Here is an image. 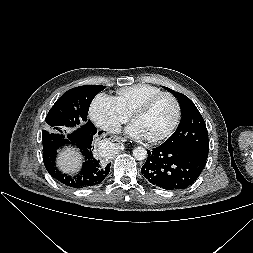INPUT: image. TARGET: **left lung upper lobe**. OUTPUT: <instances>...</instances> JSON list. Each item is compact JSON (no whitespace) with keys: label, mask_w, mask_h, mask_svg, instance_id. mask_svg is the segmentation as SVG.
Listing matches in <instances>:
<instances>
[{"label":"left lung upper lobe","mask_w":253,"mask_h":253,"mask_svg":"<svg viewBox=\"0 0 253 253\" xmlns=\"http://www.w3.org/2000/svg\"><path fill=\"white\" fill-rule=\"evenodd\" d=\"M164 88L178 99L182 118L176 131L163 145L189 149L207 159L209 150L208 131L200 112L187 96L170 88Z\"/></svg>","instance_id":"5c2ea615"}]
</instances>
